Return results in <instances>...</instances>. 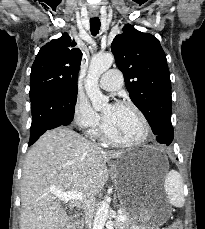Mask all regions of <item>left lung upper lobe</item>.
<instances>
[{
    "label": "left lung upper lobe",
    "instance_id": "left-lung-upper-lobe-1",
    "mask_svg": "<svg viewBox=\"0 0 205 229\" xmlns=\"http://www.w3.org/2000/svg\"><path fill=\"white\" fill-rule=\"evenodd\" d=\"M123 31L111 44L117 67L124 74L131 100L144 114L157 141L170 145L174 133L166 55L155 36L140 32L129 24Z\"/></svg>",
    "mask_w": 205,
    "mask_h": 229
}]
</instances>
